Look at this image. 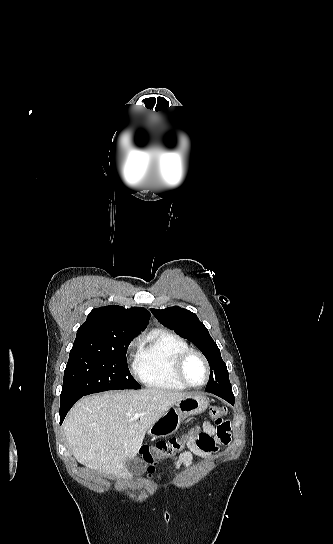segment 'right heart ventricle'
<instances>
[{
    "mask_svg": "<svg viewBox=\"0 0 333 544\" xmlns=\"http://www.w3.org/2000/svg\"><path fill=\"white\" fill-rule=\"evenodd\" d=\"M188 343L179 335L165 330H154L139 342L134 365L137 378L149 388L161 390H184L174 375L176 357L189 349Z\"/></svg>",
    "mask_w": 333,
    "mask_h": 544,
    "instance_id": "obj_1",
    "label": "right heart ventricle"
}]
</instances>
